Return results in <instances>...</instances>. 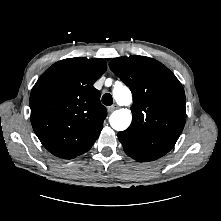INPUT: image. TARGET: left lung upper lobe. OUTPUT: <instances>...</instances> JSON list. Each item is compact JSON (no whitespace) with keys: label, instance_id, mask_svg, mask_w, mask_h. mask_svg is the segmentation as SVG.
Wrapping results in <instances>:
<instances>
[{"label":"left lung upper lobe","instance_id":"5c2ea615","mask_svg":"<svg viewBox=\"0 0 221 221\" xmlns=\"http://www.w3.org/2000/svg\"><path fill=\"white\" fill-rule=\"evenodd\" d=\"M109 67L133 94L132 123L118 136L142 155L162 157L173 148L185 125L181 83L166 66L149 57H119Z\"/></svg>","mask_w":221,"mask_h":221}]
</instances>
